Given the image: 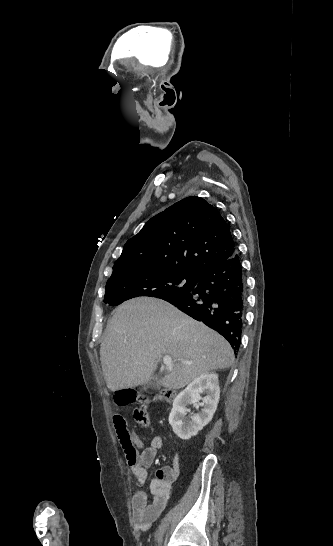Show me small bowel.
Returning <instances> with one entry per match:
<instances>
[{"label": "small bowel", "instance_id": "1", "mask_svg": "<svg viewBox=\"0 0 333 546\" xmlns=\"http://www.w3.org/2000/svg\"><path fill=\"white\" fill-rule=\"evenodd\" d=\"M130 436L135 447L142 449L141 453H137L135 459H127L128 466L138 485L131 504L132 520L139 531H144L165 509L171 496L170 483L179 474L180 465L178 456L175 455L171 466L159 471L157 478L151 481L150 494H147L142 488L147 477L146 468L156 458L158 450L162 447V439L155 437L150 446L144 447L142 439L136 433H132Z\"/></svg>", "mask_w": 333, "mask_h": 546}]
</instances>
